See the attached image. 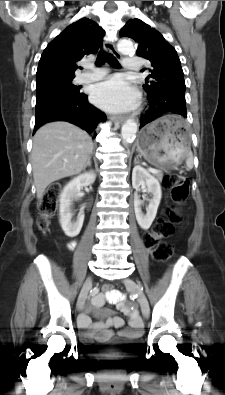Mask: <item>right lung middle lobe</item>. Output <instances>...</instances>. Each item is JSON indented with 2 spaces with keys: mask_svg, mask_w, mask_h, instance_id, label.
Returning a JSON list of instances; mask_svg holds the SVG:
<instances>
[{
  "mask_svg": "<svg viewBox=\"0 0 225 395\" xmlns=\"http://www.w3.org/2000/svg\"><path fill=\"white\" fill-rule=\"evenodd\" d=\"M36 105H39L58 94H79V87L72 84V79L49 83L36 87Z\"/></svg>",
  "mask_w": 225,
  "mask_h": 395,
  "instance_id": "obj_1",
  "label": "right lung middle lobe"
}]
</instances>
